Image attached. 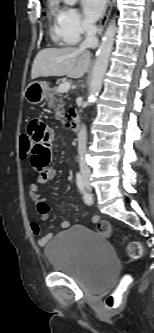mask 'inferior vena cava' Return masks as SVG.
<instances>
[{
    "label": "inferior vena cava",
    "instance_id": "inferior-vena-cava-1",
    "mask_svg": "<svg viewBox=\"0 0 154 333\" xmlns=\"http://www.w3.org/2000/svg\"><path fill=\"white\" fill-rule=\"evenodd\" d=\"M86 38L80 44L79 49L85 50L87 48H95L98 45V39L96 36L97 27L92 23L85 24ZM87 144V131L85 125H82L78 134V154H79V166L82 174H89L90 169L85 160Z\"/></svg>",
    "mask_w": 154,
    "mask_h": 333
}]
</instances>
